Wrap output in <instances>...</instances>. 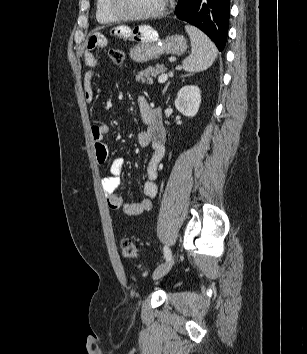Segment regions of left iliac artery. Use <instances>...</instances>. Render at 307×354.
Segmentation results:
<instances>
[{
	"mask_svg": "<svg viewBox=\"0 0 307 354\" xmlns=\"http://www.w3.org/2000/svg\"><path fill=\"white\" fill-rule=\"evenodd\" d=\"M163 252H164L165 259L168 260L171 256V251L167 245L164 246Z\"/></svg>",
	"mask_w": 307,
	"mask_h": 354,
	"instance_id": "1",
	"label": "left iliac artery"
}]
</instances>
